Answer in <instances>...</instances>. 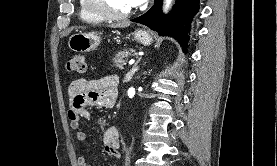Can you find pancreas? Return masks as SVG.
I'll list each match as a JSON object with an SVG mask.
<instances>
[{"instance_id":"1","label":"pancreas","mask_w":277,"mask_h":166,"mask_svg":"<svg viewBox=\"0 0 277 166\" xmlns=\"http://www.w3.org/2000/svg\"><path fill=\"white\" fill-rule=\"evenodd\" d=\"M135 51L133 49L130 50H123L119 51L114 58V66L123 69V66L126 65V61L124 58H127L128 56L134 55Z\"/></svg>"}]
</instances>
